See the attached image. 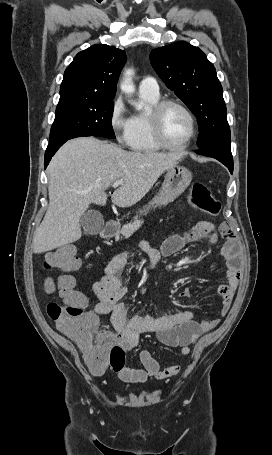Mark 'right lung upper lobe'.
Segmentation results:
<instances>
[{
	"instance_id": "right-lung-upper-lobe-1",
	"label": "right lung upper lobe",
	"mask_w": 272,
	"mask_h": 455,
	"mask_svg": "<svg viewBox=\"0 0 272 455\" xmlns=\"http://www.w3.org/2000/svg\"><path fill=\"white\" fill-rule=\"evenodd\" d=\"M125 61V52L109 45L79 52L64 72L59 102L113 100Z\"/></svg>"
}]
</instances>
